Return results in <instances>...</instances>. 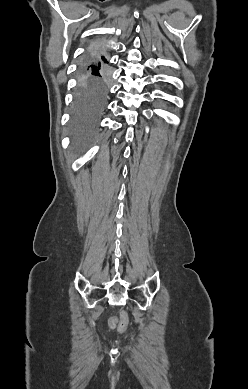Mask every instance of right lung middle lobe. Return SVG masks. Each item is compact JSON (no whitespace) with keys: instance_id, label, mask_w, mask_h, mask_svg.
<instances>
[{"instance_id":"dd1d6c3e","label":"right lung middle lobe","mask_w":248,"mask_h":389,"mask_svg":"<svg viewBox=\"0 0 248 389\" xmlns=\"http://www.w3.org/2000/svg\"><path fill=\"white\" fill-rule=\"evenodd\" d=\"M110 71L100 60L86 56L80 62L79 87L73 110L76 138L87 144L95 122L104 111Z\"/></svg>"}]
</instances>
